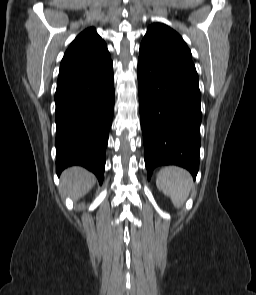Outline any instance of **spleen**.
Here are the masks:
<instances>
[{"label":"spleen","mask_w":256,"mask_h":295,"mask_svg":"<svg viewBox=\"0 0 256 295\" xmlns=\"http://www.w3.org/2000/svg\"><path fill=\"white\" fill-rule=\"evenodd\" d=\"M193 184L190 174L175 166L161 169L156 178V186L170 197L175 207L180 208L188 197Z\"/></svg>","instance_id":"spleen-1"}]
</instances>
